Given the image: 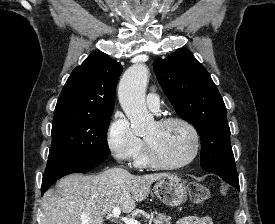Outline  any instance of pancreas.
Listing matches in <instances>:
<instances>
[{"mask_svg":"<svg viewBox=\"0 0 275 224\" xmlns=\"http://www.w3.org/2000/svg\"><path fill=\"white\" fill-rule=\"evenodd\" d=\"M156 215L155 224H172L171 217L162 213L153 212ZM151 224V222L149 223Z\"/></svg>","mask_w":275,"mask_h":224,"instance_id":"obj_1","label":"pancreas"}]
</instances>
